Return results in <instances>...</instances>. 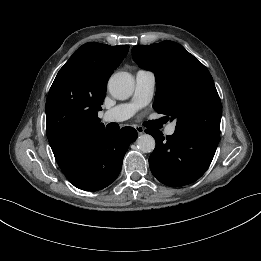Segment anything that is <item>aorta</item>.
Returning <instances> with one entry per match:
<instances>
[{
  "mask_svg": "<svg viewBox=\"0 0 261 261\" xmlns=\"http://www.w3.org/2000/svg\"><path fill=\"white\" fill-rule=\"evenodd\" d=\"M110 94L118 99L129 98L134 91L133 76L127 72H117L108 81ZM137 148L143 153H150L155 148V139L149 134L140 135L136 141Z\"/></svg>",
  "mask_w": 261,
  "mask_h": 261,
  "instance_id": "762f6f07",
  "label": "aorta"
}]
</instances>
